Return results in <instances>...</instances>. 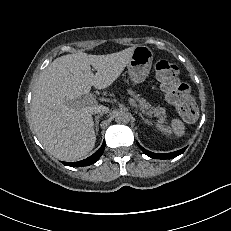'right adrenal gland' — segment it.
<instances>
[{
    "mask_svg": "<svg viewBox=\"0 0 231 231\" xmlns=\"http://www.w3.org/2000/svg\"><path fill=\"white\" fill-rule=\"evenodd\" d=\"M101 116H102V114H98L97 116H95L94 126H95L96 134H98V131H99V119H100Z\"/></svg>",
    "mask_w": 231,
    "mask_h": 231,
    "instance_id": "obj_1",
    "label": "right adrenal gland"
}]
</instances>
